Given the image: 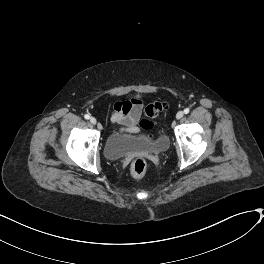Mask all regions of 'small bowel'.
Wrapping results in <instances>:
<instances>
[{"mask_svg":"<svg viewBox=\"0 0 264 264\" xmlns=\"http://www.w3.org/2000/svg\"><path fill=\"white\" fill-rule=\"evenodd\" d=\"M143 109V102L139 98L117 103L113 112L110 115V121L118 125L121 132L140 133L141 130H146V120L140 121Z\"/></svg>","mask_w":264,"mask_h":264,"instance_id":"c3829d8e","label":"small bowel"}]
</instances>
